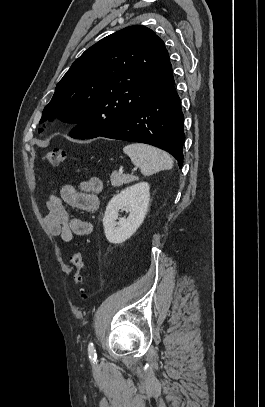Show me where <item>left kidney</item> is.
<instances>
[{
    "mask_svg": "<svg viewBox=\"0 0 265 407\" xmlns=\"http://www.w3.org/2000/svg\"><path fill=\"white\" fill-rule=\"evenodd\" d=\"M149 190L147 182H139L125 188L110 200L103 217L105 236L110 243L125 242L140 227L148 211ZM120 210H125L129 216L119 218Z\"/></svg>",
    "mask_w": 265,
    "mask_h": 407,
    "instance_id": "5707ae66",
    "label": "left kidney"
}]
</instances>
